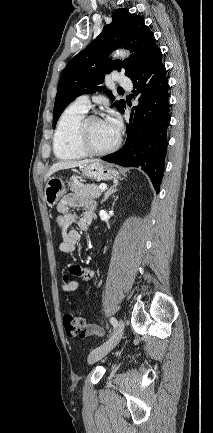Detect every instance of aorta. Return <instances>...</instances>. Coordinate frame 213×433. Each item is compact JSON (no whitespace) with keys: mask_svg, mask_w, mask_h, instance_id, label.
<instances>
[{"mask_svg":"<svg viewBox=\"0 0 213 433\" xmlns=\"http://www.w3.org/2000/svg\"><path fill=\"white\" fill-rule=\"evenodd\" d=\"M113 55L114 57L125 58L129 56V52L126 50H117Z\"/></svg>","mask_w":213,"mask_h":433,"instance_id":"obj_1","label":"aorta"}]
</instances>
